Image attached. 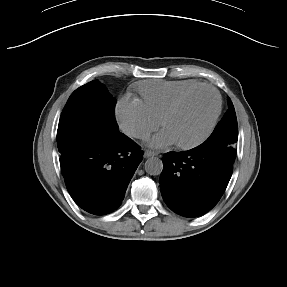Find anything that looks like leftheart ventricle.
<instances>
[{
	"label": "left heart ventricle",
	"mask_w": 287,
	"mask_h": 287,
	"mask_svg": "<svg viewBox=\"0 0 287 287\" xmlns=\"http://www.w3.org/2000/svg\"><path fill=\"white\" fill-rule=\"evenodd\" d=\"M215 110V97L208 90L191 95L175 115L165 123L176 143H188L206 130Z\"/></svg>",
	"instance_id": "obj_1"
}]
</instances>
